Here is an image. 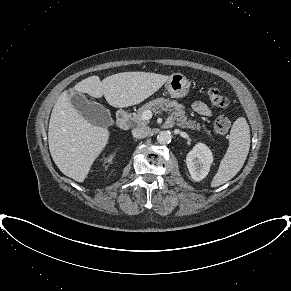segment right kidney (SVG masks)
<instances>
[{
  "instance_id": "1",
  "label": "right kidney",
  "mask_w": 291,
  "mask_h": 291,
  "mask_svg": "<svg viewBox=\"0 0 291 291\" xmlns=\"http://www.w3.org/2000/svg\"><path fill=\"white\" fill-rule=\"evenodd\" d=\"M113 159V155H110L108 158L105 159V162H111Z\"/></svg>"
}]
</instances>
